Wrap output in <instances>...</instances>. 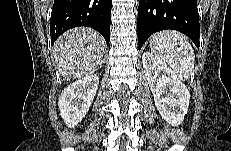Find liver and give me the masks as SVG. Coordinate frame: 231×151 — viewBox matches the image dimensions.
Returning a JSON list of instances; mask_svg holds the SVG:
<instances>
[{
  "instance_id": "6515ba94",
  "label": "liver",
  "mask_w": 231,
  "mask_h": 151,
  "mask_svg": "<svg viewBox=\"0 0 231 151\" xmlns=\"http://www.w3.org/2000/svg\"><path fill=\"white\" fill-rule=\"evenodd\" d=\"M103 37L95 30L78 27L60 36L53 49L54 65L67 80L92 75L102 63Z\"/></svg>"
}]
</instances>
